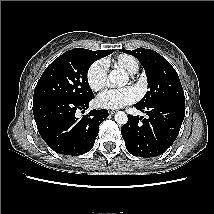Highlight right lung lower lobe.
<instances>
[{"label":"right lung lower lobe","instance_id":"right-lung-lower-lobe-1","mask_svg":"<svg viewBox=\"0 0 214 214\" xmlns=\"http://www.w3.org/2000/svg\"><path fill=\"white\" fill-rule=\"evenodd\" d=\"M93 98H50L33 103L39 134L53 151L78 156L91 150L100 123L109 116L106 109H101L91 110L81 119L77 118L76 111L84 113Z\"/></svg>","mask_w":214,"mask_h":214}]
</instances>
